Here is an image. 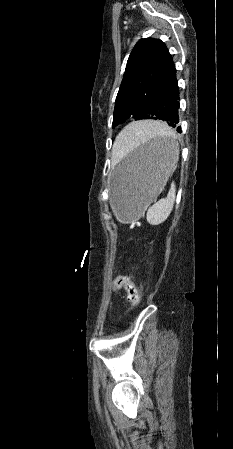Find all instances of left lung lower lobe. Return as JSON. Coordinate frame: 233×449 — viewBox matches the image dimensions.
Segmentation results:
<instances>
[{"mask_svg": "<svg viewBox=\"0 0 233 449\" xmlns=\"http://www.w3.org/2000/svg\"><path fill=\"white\" fill-rule=\"evenodd\" d=\"M179 107V87L175 73L152 100L145 119L166 121L181 132V127L178 126Z\"/></svg>", "mask_w": 233, "mask_h": 449, "instance_id": "left-lung-lower-lobe-1", "label": "left lung lower lobe"}]
</instances>
